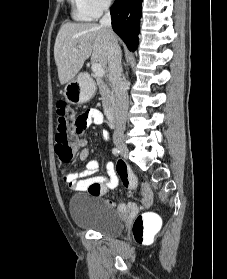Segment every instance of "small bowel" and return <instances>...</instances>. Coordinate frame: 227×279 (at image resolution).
Segmentation results:
<instances>
[{
    "label": "small bowel",
    "instance_id": "obj_1",
    "mask_svg": "<svg viewBox=\"0 0 227 279\" xmlns=\"http://www.w3.org/2000/svg\"><path fill=\"white\" fill-rule=\"evenodd\" d=\"M86 115L87 117L83 127L91 124H104L103 114L98 109H89L86 112ZM101 138L104 141L109 140V133L107 130L102 131ZM75 144L82 148L79 152V160L83 162L86 161L87 163L85 168L79 172L63 170V179L71 190H90L89 185L91 183H98L102 188L100 193H106L109 190L115 189L121 182L124 187L138 191L141 197L140 203L139 205L120 203L116 206L113 200L108 199L107 203L109 206H116L117 210L123 214L134 215L139 209L149 208L152 205L153 195L150 187L147 184L138 185L136 177L131 171H128L126 175L120 174L118 177L115 170V164L112 161H109L106 164L108 176L102 177L97 175L100 170V161L97 158L89 159L90 153L86 148L88 140L84 136L82 130L75 133Z\"/></svg>",
    "mask_w": 227,
    "mask_h": 279
}]
</instances>
